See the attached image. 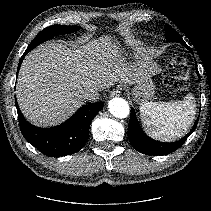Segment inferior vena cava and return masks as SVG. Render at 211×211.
Segmentation results:
<instances>
[{
    "label": "inferior vena cava",
    "instance_id": "inferior-vena-cava-1",
    "mask_svg": "<svg viewBox=\"0 0 211 211\" xmlns=\"http://www.w3.org/2000/svg\"><path fill=\"white\" fill-rule=\"evenodd\" d=\"M83 99L90 102H96L99 99L98 90L91 88L83 92Z\"/></svg>",
    "mask_w": 211,
    "mask_h": 211
}]
</instances>
